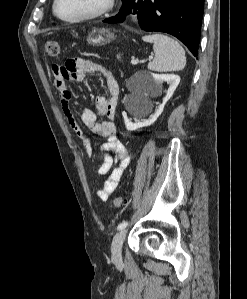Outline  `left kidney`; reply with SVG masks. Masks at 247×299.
Here are the masks:
<instances>
[{
  "instance_id": "obj_1",
  "label": "left kidney",
  "mask_w": 247,
  "mask_h": 299,
  "mask_svg": "<svg viewBox=\"0 0 247 299\" xmlns=\"http://www.w3.org/2000/svg\"><path fill=\"white\" fill-rule=\"evenodd\" d=\"M163 82H167L169 88L165 97L163 98L162 104L159 105L158 109L153 115H151L148 119H143L142 121L132 122L130 119H128L127 116H124V123L128 131H134L142 127L150 126L157 120V118L163 112L165 104L172 97L175 89L177 88L180 82V77L175 74H152L146 79L147 88L146 91L142 93V95L148 96L149 94L154 93L161 87ZM146 107L147 104L145 102H141L138 100L130 111L135 116H141L145 112Z\"/></svg>"
}]
</instances>
